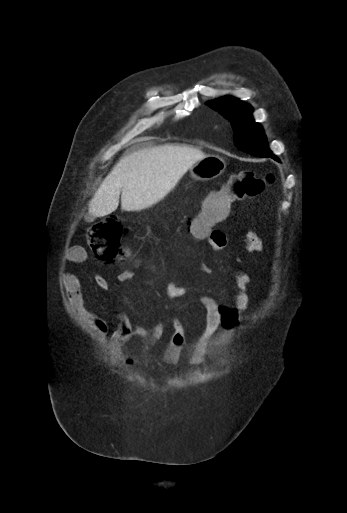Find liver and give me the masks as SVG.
Listing matches in <instances>:
<instances>
[{"label": "liver", "instance_id": "liver-1", "mask_svg": "<svg viewBox=\"0 0 347 513\" xmlns=\"http://www.w3.org/2000/svg\"><path fill=\"white\" fill-rule=\"evenodd\" d=\"M189 146L160 145L144 148L121 158L89 202L94 221L114 212L119 204L126 211H140L155 204L176 185L184 173L205 158Z\"/></svg>", "mask_w": 347, "mask_h": 513}]
</instances>
